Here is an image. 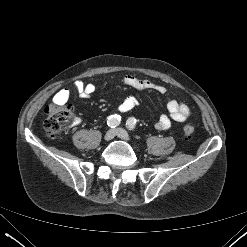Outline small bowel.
Here are the masks:
<instances>
[{
    "label": "small bowel",
    "mask_w": 247,
    "mask_h": 247,
    "mask_svg": "<svg viewBox=\"0 0 247 247\" xmlns=\"http://www.w3.org/2000/svg\"><path fill=\"white\" fill-rule=\"evenodd\" d=\"M125 85L132 87L137 90H153L158 93H165L167 91L166 87L160 83L148 79H140L134 75H126L123 79ZM75 89L80 97L89 98L95 93L96 87L92 83H84L82 81H76L74 83ZM70 96V91L67 88L59 90L53 97V101L59 104L65 103ZM138 105V100L134 96H129L121 102L118 106V111L120 113H126ZM167 114H162L157 123L156 127L159 130H167L171 127L172 122H184L191 115L190 108L175 99L169 100L167 103Z\"/></svg>",
    "instance_id": "c3829d8e"
}]
</instances>
